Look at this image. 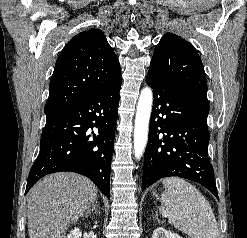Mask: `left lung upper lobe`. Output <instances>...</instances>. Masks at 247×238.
Returning <instances> with one entry per match:
<instances>
[{
    "label": "left lung upper lobe",
    "instance_id": "left-lung-upper-lobe-1",
    "mask_svg": "<svg viewBox=\"0 0 247 238\" xmlns=\"http://www.w3.org/2000/svg\"><path fill=\"white\" fill-rule=\"evenodd\" d=\"M149 71L209 110L202 61L195 48L185 39L166 33L155 48Z\"/></svg>",
    "mask_w": 247,
    "mask_h": 238
}]
</instances>
